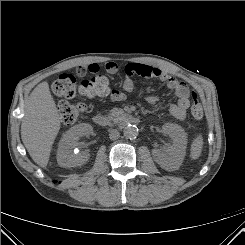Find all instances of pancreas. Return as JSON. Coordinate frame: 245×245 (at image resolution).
Segmentation results:
<instances>
[{
	"label": "pancreas",
	"instance_id": "cf45deb5",
	"mask_svg": "<svg viewBox=\"0 0 245 245\" xmlns=\"http://www.w3.org/2000/svg\"><path fill=\"white\" fill-rule=\"evenodd\" d=\"M123 113H124L123 110L114 108L110 111V113L108 115V119L109 120H117V119H119L120 116L123 115Z\"/></svg>",
	"mask_w": 245,
	"mask_h": 245
}]
</instances>
